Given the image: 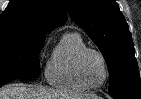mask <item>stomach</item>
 Masks as SVG:
<instances>
[{
  "label": "stomach",
  "mask_w": 141,
  "mask_h": 99,
  "mask_svg": "<svg viewBox=\"0 0 141 99\" xmlns=\"http://www.w3.org/2000/svg\"><path fill=\"white\" fill-rule=\"evenodd\" d=\"M85 99H99V98L97 96H95V95H92L89 98H85Z\"/></svg>",
  "instance_id": "stomach-1"
}]
</instances>
